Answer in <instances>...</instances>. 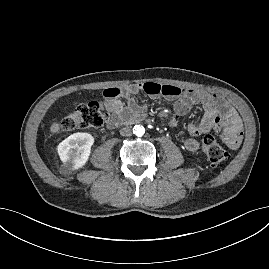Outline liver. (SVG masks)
Segmentation results:
<instances>
[{"label":"liver","instance_id":"obj_1","mask_svg":"<svg viewBox=\"0 0 269 269\" xmlns=\"http://www.w3.org/2000/svg\"><path fill=\"white\" fill-rule=\"evenodd\" d=\"M59 131H60V124L57 123V122H53L52 125H51V127H50V132L52 134H54V133H57Z\"/></svg>","mask_w":269,"mask_h":269}]
</instances>
